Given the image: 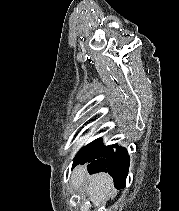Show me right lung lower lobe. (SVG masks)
<instances>
[{
	"label": "right lung lower lobe",
	"instance_id": "right-lung-lower-lobe-1",
	"mask_svg": "<svg viewBox=\"0 0 179 211\" xmlns=\"http://www.w3.org/2000/svg\"><path fill=\"white\" fill-rule=\"evenodd\" d=\"M113 147H116L117 150L114 151ZM84 163H88L87 168L90 174L107 172L113 177L114 185L117 189L125 187L130 157L124 147L117 146V144L106 147L102 146L90 156L77 163H73V167Z\"/></svg>",
	"mask_w": 179,
	"mask_h": 211
}]
</instances>
